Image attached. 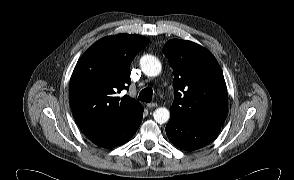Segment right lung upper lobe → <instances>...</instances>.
Masks as SVG:
<instances>
[{
  "label": "right lung upper lobe",
  "mask_w": 294,
  "mask_h": 180,
  "mask_svg": "<svg viewBox=\"0 0 294 180\" xmlns=\"http://www.w3.org/2000/svg\"><path fill=\"white\" fill-rule=\"evenodd\" d=\"M149 39L118 34L100 39L79 59L70 81V104L78 126L85 131L109 129L140 103L119 97L131 82L130 64Z\"/></svg>",
  "instance_id": "cb5924a9"
}]
</instances>
